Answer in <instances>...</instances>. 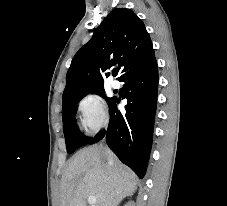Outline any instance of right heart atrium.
<instances>
[{
    "label": "right heart atrium",
    "mask_w": 227,
    "mask_h": 206,
    "mask_svg": "<svg viewBox=\"0 0 227 206\" xmlns=\"http://www.w3.org/2000/svg\"><path fill=\"white\" fill-rule=\"evenodd\" d=\"M78 112L81 124L89 134H96L108 122L106 104L96 93H89L79 101Z\"/></svg>",
    "instance_id": "1"
}]
</instances>
